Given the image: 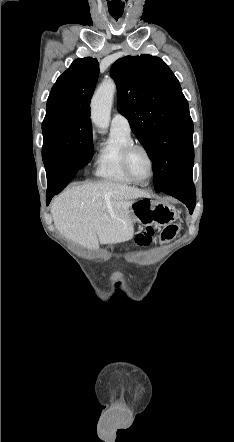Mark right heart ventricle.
<instances>
[{"instance_id":"right-heart-ventricle-1","label":"right heart ventricle","mask_w":234,"mask_h":442,"mask_svg":"<svg viewBox=\"0 0 234 442\" xmlns=\"http://www.w3.org/2000/svg\"><path fill=\"white\" fill-rule=\"evenodd\" d=\"M133 142L130 132L111 129L109 139L103 143L99 150L95 163V175L108 182L126 185L134 183L122 166L123 150Z\"/></svg>"}]
</instances>
